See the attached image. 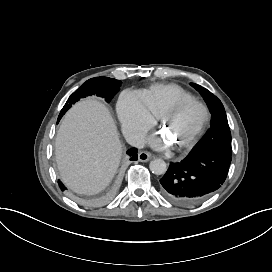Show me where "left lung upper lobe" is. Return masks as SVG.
<instances>
[{
    "mask_svg": "<svg viewBox=\"0 0 272 272\" xmlns=\"http://www.w3.org/2000/svg\"><path fill=\"white\" fill-rule=\"evenodd\" d=\"M191 85L200 92L206 101L212 114V121L211 128L189 154L216 151L232 155L231 133L223 104L214 94L202 86L195 83H191Z\"/></svg>",
    "mask_w": 272,
    "mask_h": 272,
    "instance_id": "left-lung-upper-lobe-1",
    "label": "left lung upper lobe"
}]
</instances>
